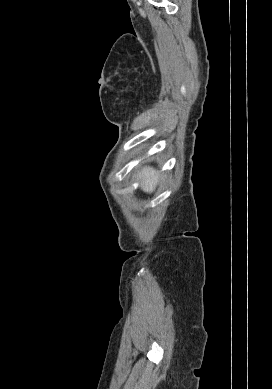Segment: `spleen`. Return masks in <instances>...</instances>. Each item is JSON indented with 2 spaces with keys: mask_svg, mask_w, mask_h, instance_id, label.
I'll list each match as a JSON object with an SVG mask.
<instances>
[{
  "mask_svg": "<svg viewBox=\"0 0 272 389\" xmlns=\"http://www.w3.org/2000/svg\"><path fill=\"white\" fill-rule=\"evenodd\" d=\"M138 179L141 180V189L144 192L151 193L156 189L159 182V175L155 173V170L148 167L144 168L142 172L138 174Z\"/></svg>",
  "mask_w": 272,
  "mask_h": 389,
  "instance_id": "obj_1",
  "label": "spleen"
}]
</instances>
